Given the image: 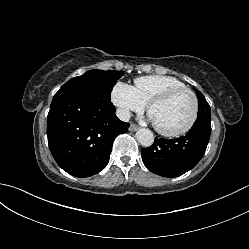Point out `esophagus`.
Wrapping results in <instances>:
<instances>
[{
    "label": "esophagus",
    "mask_w": 249,
    "mask_h": 249,
    "mask_svg": "<svg viewBox=\"0 0 249 249\" xmlns=\"http://www.w3.org/2000/svg\"><path fill=\"white\" fill-rule=\"evenodd\" d=\"M138 129V127L136 126V125H134V124H131L130 126H129V131H135V130H137Z\"/></svg>",
    "instance_id": "34e87169"
}]
</instances>
